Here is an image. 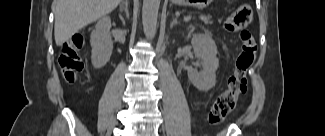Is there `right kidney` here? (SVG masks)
Returning a JSON list of instances; mask_svg holds the SVG:
<instances>
[{
    "label": "right kidney",
    "mask_w": 325,
    "mask_h": 136,
    "mask_svg": "<svg viewBox=\"0 0 325 136\" xmlns=\"http://www.w3.org/2000/svg\"><path fill=\"white\" fill-rule=\"evenodd\" d=\"M111 19L109 16L102 17L91 33V60L94 68L99 69L110 60L113 42L110 35Z\"/></svg>",
    "instance_id": "1"
}]
</instances>
